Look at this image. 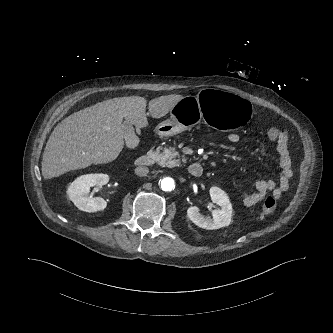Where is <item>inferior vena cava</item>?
Segmentation results:
<instances>
[{"label": "inferior vena cava", "mask_w": 333, "mask_h": 333, "mask_svg": "<svg viewBox=\"0 0 333 333\" xmlns=\"http://www.w3.org/2000/svg\"><path fill=\"white\" fill-rule=\"evenodd\" d=\"M149 172V169L145 166H138L135 168V174L137 176H146Z\"/></svg>", "instance_id": "602c4592"}]
</instances>
